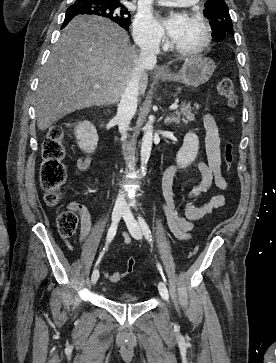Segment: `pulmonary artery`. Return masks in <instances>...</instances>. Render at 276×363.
<instances>
[{
  "label": "pulmonary artery",
  "instance_id": "obj_1",
  "mask_svg": "<svg viewBox=\"0 0 276 363\" xmlns=\"http://www.w3.org/2000/svg\"><path fill=\"white\" fill-rule=\"evenodd\" d=\"M195 2L196 0H158V3L161 5L176 7L188 6L194 4Z\"/></svg>",
  "mask_w": 276,
  "mask_h": 363
}]
</instances>
